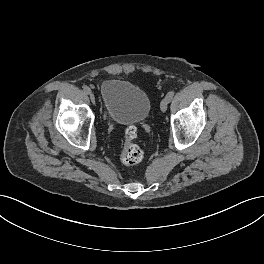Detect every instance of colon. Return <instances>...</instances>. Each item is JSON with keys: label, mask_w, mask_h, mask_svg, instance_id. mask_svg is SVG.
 Returning a JSON list of instances; mask_svg holds the SVG:
<instances>
[{"label": "colon", "mask_w": 264, "mask_h": 264, "mask_svg": "<svg viewBox=\"0 0 264 264\" xmlns=\"http://www.w3.org/2000/svg\"><path fill=\"white\" fill-rule=\"evenodd\" d=\"M137 130L130 126L125 131V143L121 151V162L126 166L138 165L144 156L143 150L133 142L136 138Z\"/></svg>", "instance_id": "obj_1"}]
</instances>
